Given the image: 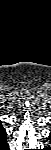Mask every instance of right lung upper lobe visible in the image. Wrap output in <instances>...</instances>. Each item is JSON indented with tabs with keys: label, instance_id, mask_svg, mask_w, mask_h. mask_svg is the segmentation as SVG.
<instances>
[{
	"label": "right lung upper lobe",
	"instance_id": "obj_1",
	"mask_svg": "<svg viewBox=\"0 0 51 150\" xmlns=\"http://www.w3.org/2000/svg\"><path fill=\"white\" fill-rule=\"evenodd\" d=\"M6 136H7L6 131L4 130L2 125H0V145L7 142Z\"/></svg>",
	"mask_w": 51,
	"mask_h": 150
}]
</instances>
